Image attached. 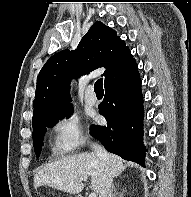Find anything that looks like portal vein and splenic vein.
Returning <instances> with one entry per match:
<instances>
[{"label":"portal vein and splenic vein","instance_id":"portal-vein-and-splenic-vein-1","mask_svg":"<svg viewBox=\"0 0 191 197\" xmlns=\"http://www.w3.org/2000/svg\"><path fill=\"white\" fill-rule=\"evenodd\" d=\"M81 181H87V179L86 178H84V179H81ZM89 197H97V195H96V193H91L90 195H89Z\"/></svg>","mask_w":191,"mask_h":197}]
</instances>
